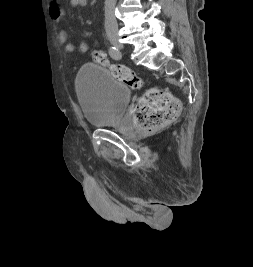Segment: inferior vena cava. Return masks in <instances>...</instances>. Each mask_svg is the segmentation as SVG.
I'll list each match as a JSON object with an SVG mask.
<instances>
[{"label": "inferior vena cava", "mask_w": 253, "mask_h": 267, "mask_svg": "<svg viewBox=\"0 0 253 267\" xmlns=\"http://www.w3.org/2000/svg\"><path fill=\"white\" fill-rule=\"evenodd\" d=\"M117 0H105V28L112 30L118 28L117 20L115 18V6Z\"/></svg>", "instance_id": "1"}]
</instances>
